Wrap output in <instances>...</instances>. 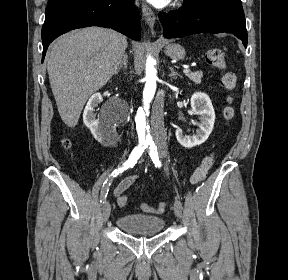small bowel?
I'll list each match as a JSON object with an SVG mask.
<instances>
[{"label":"small bowel","instance_id":"c3829d8e","mask_svg":"<svg viewBox=\"0 0 288 280\" xmlns=\"http://www.w3.org/2000/svg\"><path fill=\"white\" fill-rule=\"evenodd\" d=\"M136 180H137L136 175L128 176V177L124 178L118 184V186L114 189L113 195H114V197L117 198V202H118L119 206L123 207L119 201L122 197L125 196L124 193L126 192V190H128L136 182Z\"/></svg>","mask_w":288,"mask_h":280}]
</instances>
